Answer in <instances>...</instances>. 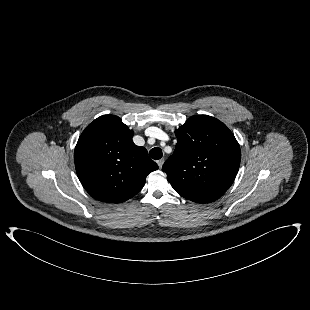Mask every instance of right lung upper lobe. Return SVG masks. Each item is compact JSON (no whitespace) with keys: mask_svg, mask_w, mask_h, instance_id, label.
<instances>
[{"mask_svg":"<svg viewBox=\"0 0 310 310\" xmlns=\"http://www.w3.org/2000/svg\"><path fill=\"white\" fill-rule=\"evenodd\" d=\"M133 131L119 117L103 115L81 134L74 152L75 168L85 190L96 200L121 203L135 196L146 177L158 169Z\"/></svg>","mask_w":310,"mask_h":310,"instance_id":"right-lung-upper-lobe-1","label":"right lung upper lobe"}]
</instances>
